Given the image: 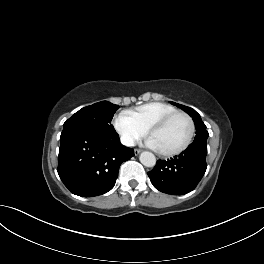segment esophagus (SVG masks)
I'll use <instances>...</instances> for the list:
<instances>
[{
	"label": "esophagus",
	"instance_id": "esophagus-1",
	"mask_svg": "<svg viewBox=\"0 0 264 264\" xmlns=\"http://www.w3.org/2000/svg\"><path fill=\"white\" fill-rule=\"evenodd\" d=\"M140 152H141L140 149H135V150H134V154H135L136 156H137Z\"/></svg>",
	"mask_w": 264,
	"mask_h": 264
}]
</instances>
